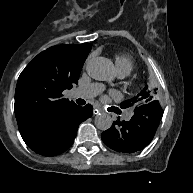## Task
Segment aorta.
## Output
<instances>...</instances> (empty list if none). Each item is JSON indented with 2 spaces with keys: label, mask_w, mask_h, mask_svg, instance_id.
Segmentation results:
<instances>
[{
  "label": "aorta",
  "mask_w": 193,
  "mask_h": 193,
  "mask_svg": "<svg viewBox=\"0 0 193 193\" xmlns=\"http://www.w3.org/2000/svg\"><path fill=\"white\" fill-rule=\"evenodd\" d=\"M112 64L104 58L95 59L88 63L87 72L96 80L110 81L113 78ZM112 118L107 113L98 114L94 119L97 129L105 131L112 126Z\"/></svg>",
  "instance_id": "1"
}]
</instances>
